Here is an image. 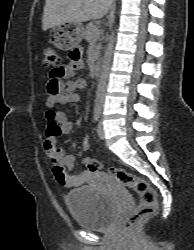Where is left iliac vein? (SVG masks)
Returning <instances> with one entry per match:
<instances>
[{
	"mask_svg": "<svg viewBox=\"0 0 194 250\" xmlns=\"http://www.w3.org/2000/svg\"><path fill=\"white\" fill-rule=\"evenodd\" d=\"M97 135L100 139H104L105 137V132H104V127H103V123L102 121H100L98 123V126H97Z\"/></svg>",
	"mask_w": 194,
	"mask_h": 250,
	"instance_id": "left-iliac-vein-1",
	"label": "left iliac vein"
}]
</instances>
